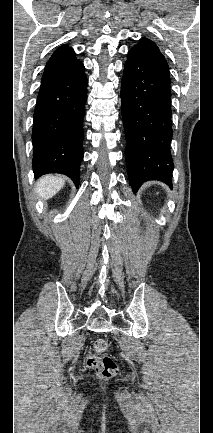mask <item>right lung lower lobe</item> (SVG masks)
<instances>
[{
  "label": "right lung lower lobe",
  "instance_id": "1",
  "mask_svg": "<svg viewBox=\"0 0 213 433\" xmlns=\"http://www.w3.org/2000/svg\"><path fill=\"white\" fill-rule=\"evenodd\" d=\"M86 100L87 78L79 60L61 59L46 65L33 116L35 178L61 173L79 185Z\"/></svg>",
  "mask_w": 213,
  "mask_h": 433
}]
</instances>
